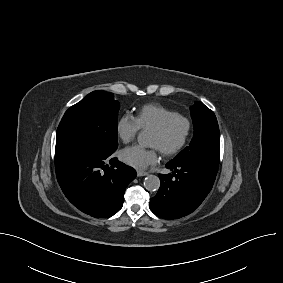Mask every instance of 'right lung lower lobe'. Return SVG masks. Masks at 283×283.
<instances>
[{"mask_svg": "<svg viewBox=\"0 0 283 283\" xmlns=\"http://www.w3.org/2000/svg\"><path fill=\"white\" fill-rule=\"evenodd\" d=\"M113 153L84 144L55 149L56 176L62 191L75 207L95 218L113 216L122 208L125 189L137 175Z\"/></svg>", "mask_w": 283, "mask_h": 283, "instance_id": "98d812e1", "label": "right lung lower lobe"}]
</instances>
